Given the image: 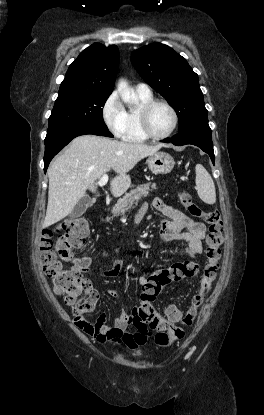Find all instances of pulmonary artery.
<instances>
[{"instance_id": "1", "label": "pulmonary artery", "mask_w": 264, "mask_h": 415, "mask_svg": "<svg viewBox=\"0 0 264 415\" xmlns=\"http://www.w3.org/2000/svg\"><path fill=\"white\" fill-rule=\"evenodd\" d=\"M135 90L138 93L149 95L151 94V89L147 84L139 83L135 86Z\"/></svg>"}]
</instances>
